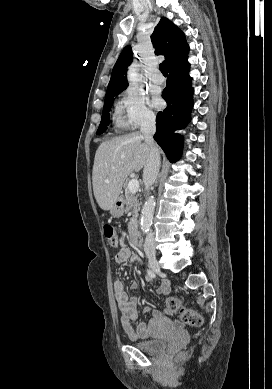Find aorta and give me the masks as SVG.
Here are the masks:
<instances>
[{
    "label": "aorta",
    "instance_id": "aorta-1",
    "mask_svg": "<svg viewBox=\"0 0 272 389\" xmlns=\"http://www.w3.org/2000/svg\"><path fill=\"white\" fill-rule=\"evenodd\" d=\"M127 79L131 85H136L139 81L138 65L132 63L127 72ZM155 209V199L153 196L149 197L144 203L141 213V230L143 234H147L150 231L152 225V219Z\"/></svg>",
    "mask_w": 272,
    "mask_h": 389
}]
</instances>
